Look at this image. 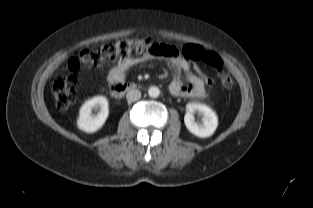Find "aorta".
<instances>
[{
	"mask_svg": "<svg viewBox=\"0 0 313 208\" xmlns=\"http://www.w3.org/2000/svg\"><path fill=\"white\" fill-rule=\"evenodd\" d=\"M160 94V90L156 86H152L148 89V95L152 98H157Z\"/></svg>",
	"mask_w": 313,
	"mask_h": 208,
	"instance_id": "aorta-1",
	"label": "aorta"
}]
</instances>
